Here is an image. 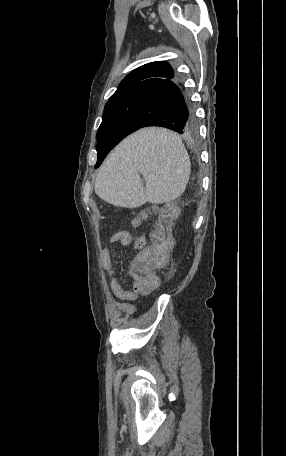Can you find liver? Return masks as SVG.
Here are the masks:
<instances>
[{"mask_svg":"<svg viewBox=\"0 0 286 456\" xmlns=\"http://www.w3.org/2000/svg\"><path fill=\"white\" fill-rule=\"evenodd\" d=\"M190 170V160L177 133L143 128L125 138L107 157L96 177L95 193L107 203L125 208H137L146 202L167 203L183 194Z\"/></svg>","mask_w":286,"mask_h":456,"instance_id":"6515ba94","label":"liver"}]
</instances>
